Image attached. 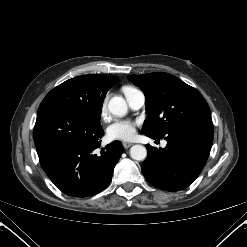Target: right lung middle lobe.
I'll list each match as a JSON object with an SVG mask.
<instances>
[{
    "label": "right lung middle lobe",
    "instance_id": "dd1d6c3e",
    "mask_svg": "<svg viewBox=\"0 0 247 247\" xmlns=\"http://www.w3.org/2000/svg\"><path fill=\"white\" fill-rule=\"evenodd\" d=\"M106 93L95 75L79 76L52 89L40 106L54 104L71 108L99 123Z\"/></svg>",
    "mask_w": 247,
    "mask_h": 247
}]
</instances>
